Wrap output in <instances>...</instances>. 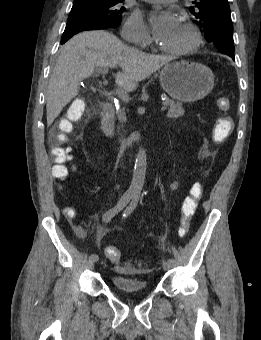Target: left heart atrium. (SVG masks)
<instances>
[{
  "label": "left heart atrium",
  "instance_id": "1",
  "mask_svg": "<svg viewBox=\"0 0 261 340\" xmlns=\"http://www.w3.org/2000/svg\"><path fill=\"white\" fill-rule=\"evenodd\" d=\"M149 21L159 42H163L172 36L181 25L178 16L169 10L152 13Z\"/></svg>",
  "mask_w": 261,
  "mask_h": 340
}]
</instances>
